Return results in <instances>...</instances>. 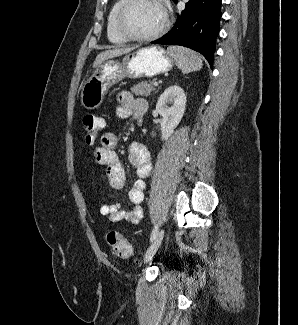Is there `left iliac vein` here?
<instances>
[{
  "label": "left iliac vein",
  "mask_w": 298,
  "mask_h": 325,
  "mask_svg": "<svg viewBox=\"0 0 298 325\" xmlns=\"http://www.w3.org/2000/svg\"><path fill=\"white\" fill-rule=\"evenodd\" d=\"M164 237V230L161 229L157 232L156 237L154 238L153 242L151 245L148 247L145 255H144V262L148 263L152 260L154 257L155 253L157 252L158 248L160 247L162 240Z\"/></svg>",
  "instance_id": "obj_1"
}]
</instances>
